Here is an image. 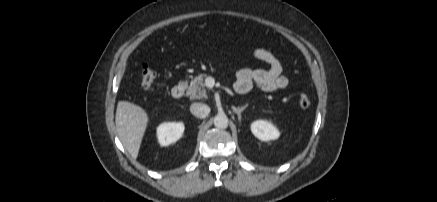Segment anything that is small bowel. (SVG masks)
<instances>
[{"label":"small bowel","mask_w":437,"mask_h":202,"mask_svg":"<svg viewBox=\"0 0 437 202\" xmlns=\"http://www.w3.org/2000/svg\"><path fill=\"white\" fill-rule=\"evenodd\" d=\"M253 56L266 63L267 69L242 68L236 74L234 90L238 94H246L253 87L264 92L282 91L288 86V79L283 75V68L280 60L269 50L256 48Z\"/></svg>","instance_id":"1"}]
</instances>
